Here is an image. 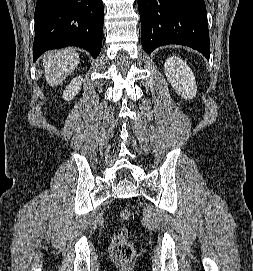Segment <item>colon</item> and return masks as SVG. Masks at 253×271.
<instances>
[{
    "instance_id": "obj_1",
    "label": "colon",
    "mask_w": 253,
    "mask_h": 271,
    "mask_svg": "<svg viewBox=\"0 0 253 271\" xmlns=\"http://www.w3.org/2000/svg\"><path fill=\"white\" fill-rule=\"evenodd\" d=\"M131 219V212L128 209H123L119 212V221L127 223ZM132 232L126 227L117 229L112 239L113 256L121 262H129L134 256V248L131 244Z\"/></svg>"
}]
</instances>
